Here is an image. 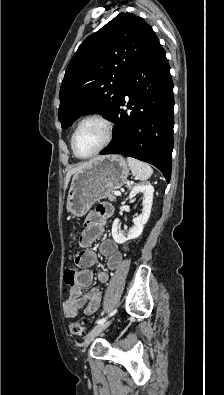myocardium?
<instances>
[{
  "label": "myocardium",
  "instance_id": "1",
  "mask_svg": "<svg viewBox=\"0 0 224 395\" xmlns=\"http://www.w3.org/2000/svg\"><path fill=\"white\" fill-rule=\"evenodd\" d=\"M90 121H96V122L101 123L105 128L106 136H105V139L102 142V144L94 152H92L91 154L86 155V156H81L78 154V152L76 150V146H75L76 137H77V134H78L79 130L81 129V127ZM113 136H114V124L109 118H107L106 116H104L102 114H98V113L89 114V115L83 117L78 122V124L72 134L71 148H72L73 154L78 159H88V158L94 157L98 153H100L102 150H104L110 144V142L113 139Z\"/></svg>",
  "mask_w": 224,
  "mask_h": 395
}]
</instances>
